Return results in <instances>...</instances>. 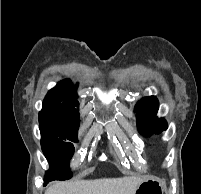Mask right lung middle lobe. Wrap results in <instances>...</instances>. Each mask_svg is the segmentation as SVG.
<instances>
[{
    "label": "right lung middle lobe",
    "mask_w": 201,
    "mask_h": 194,
    "mask_svg": "<svg viewBox=\"0 0 201 194\" xmlns=\"http://www.w3.org/2000/svg\"><path fill=\"white\" fill-rule=\"evenodd\" d=\"M41 132V146L45 156L58 153L60 156L50 160V170L45 177L52 180H64L71 177L69 160L71 159L74 146L77 142L79 120L72 118L57 107H43L39 113Z\"/></svg>",
    "instance_id": "right-lung-middle-lobe-1"
}]
</instances>
